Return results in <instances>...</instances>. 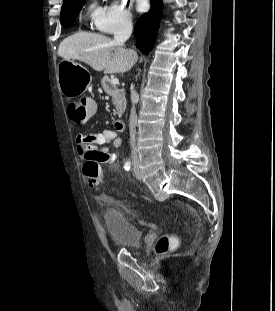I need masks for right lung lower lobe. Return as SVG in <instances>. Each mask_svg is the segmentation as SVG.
<instances>
[{
    "instance_id": "obj_1",
    "label": "right lung lower lobe",
    "mask_w": 275,
    "mask_h": 311,
    "mask_svg": "<svg viewBox=\"0 0 275 311\" xmlns=\"http://www.w3.org/2000/svg\"><path fill=\"white\" fill-rule=\"evenodd\" d=\"M150 1L151 9L138 19L134 31L137 46L146 55H148L155 43L163 8L161 0Z\"/></svg>"
}]
</instances>
